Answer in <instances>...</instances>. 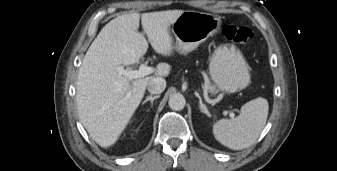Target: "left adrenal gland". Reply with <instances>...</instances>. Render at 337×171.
I'll use <instances>...</instances> for the list:
<instances>
[{
    "label": "left adrenal gland",
    "mask_w": 337,
    "mask_h": 171,
    "mask_svg": "<svg viewBox=\"0 0 337 171\" xmlns=\"http://www.w3.org/2000/svg\"><path fill=\"white\" fill-rule=\"evenodd\" d=\"M195 95L199 99V104H200V110H201V112H203V113H205V114H207L209 116V111H208L206 105L202 102V99H201L200 95L197 92H195Z\"/></svg>",
    "instance_id": "left-adrenal-gland-1"
}]
</instances>
